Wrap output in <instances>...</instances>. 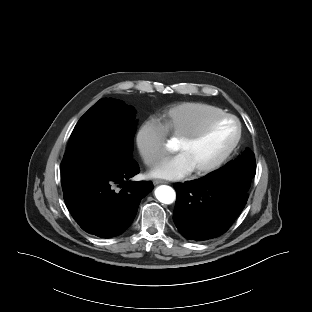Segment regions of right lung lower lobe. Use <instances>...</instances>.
Instances as JSON below:
<instances>
[{"label":"right lung lower lobe","mask_w":312,"mask_h":312,"mask_svg":"<svg viewBox=\"0 0 312 312\" xmlns=\"http://www.w3.org/2000/svg\"><path fill=\"white\" fill-rule=\"evenodd\" d=\"M138 173V164L132 159L63 191L65 204L84 231L103 238L117 236L130 226L140 200L153 189L150 181L129 180Z\"/></svg>","instance_id":"98d812e1"}]
</instances>
